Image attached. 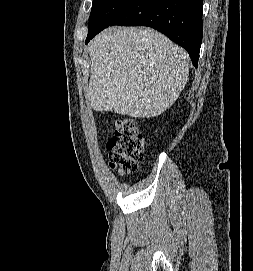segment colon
Instances as JSON below:
<instances>
[{"label":"colon","mask_w":253,"mask_h":271,"mask_svg":"<svg viewBox=\"0 0 253 271\" xmlns=\"http://www.w3.org/2000/svg\"><path fill=\"white\" fill-rule=\"evenodd\" d=\"M109 163L121 174L137 171L143 157L144 140L132 119H121L107 141Z\"/></svg>","instance_id":"5ec220e1"}]
</instances>
